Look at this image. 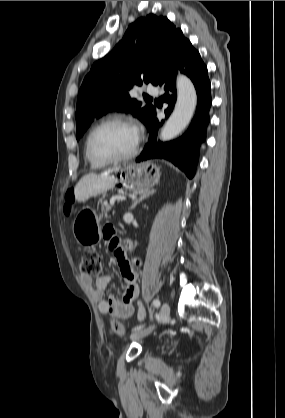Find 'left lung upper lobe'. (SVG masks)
Here are the masks:
<instances>
[{"instance_id":"obj_1","label":"left lung upper lobe","mask_w":285,"mask_h":418,"mask_svg":"<svg viewBox=\"0 0 285 418\" xmlns=\"http://www.w3.org/2000/svg\"><path fill=\"white\" fill-rule=\"evenodd\" d=\"M184 38L166 17L149 14L132 23L123 39L105 57L95 62L85 77L77 99L76 138L90 124L111 111L131 112L147 129L155 107L130 97L142 82L158 85L178 42Z\"/></svg>"}]
</instances>
